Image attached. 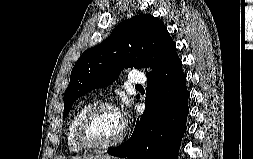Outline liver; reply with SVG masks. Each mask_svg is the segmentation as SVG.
<instances>
[{"mask_svg": "<svg viewBox=\"0 0 253 159\" xmlns=\"http://www.w3.org/2000/svg\"><path fill=\"white\" fill-rule=\"evenodd\" d=\"M104 157H111V156L104 154H88V155L75 156L72 159H102Z\"/></svg>", "mask_w": 253, "mask_h": 159, "instance_id": "6515ba94", "label": "liver"}]
</instances>
